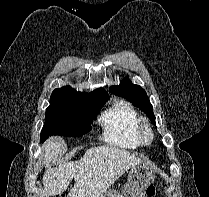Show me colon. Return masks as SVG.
<instances>
[{"mask_svg": "<svg viewBox=\"0 0 209 197\" xmlns=\"http://www.w3.org/2000/svg\"><path fill=\"white\" fill-rule=\"evenodd\" d=\"M156 193V189L154 185H149L146 190L147 197H154Z\"/></svg>", "mask_w": 209, "mask_h": 197, "instance_id": "5ec220e1", "label": "colon"}]
</instances>
